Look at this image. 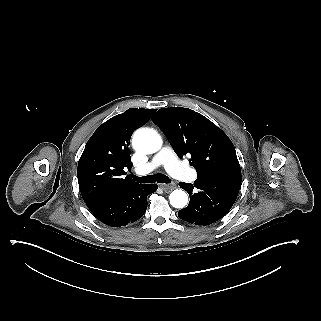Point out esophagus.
Masks as SVG:
<instances>
[{
	"mask_svg": "<svg viewBox=\"0 0 321 321\" xmlns=\"http://www.w3.org/2000/svg\"><path fill=\"white\" fill-rule=\"evenodd\" d=\"M160 187L164 192L169 193L174 189L175 184H162Z\"/></svg>",
	"mask_w": 321,
	"mask_h": 321,
	"instance_id": "esophagus-1",
	"label": "esophagus"
}]
</instances>
